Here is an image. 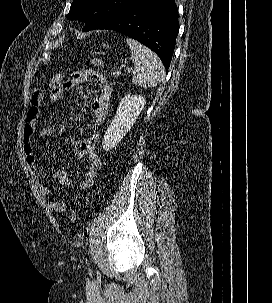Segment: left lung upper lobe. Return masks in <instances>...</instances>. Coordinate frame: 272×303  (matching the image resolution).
Instances as JSON below:
<instances>
[{"instance_id": "left-lung-upper-lobe-1", "label": "left lung upper lobe", "mask_w": 272, "mask_h": 303, "mask_svg": "<svg viewBox=\"0 0 272 303\" xmlns=\"http://www.w3.org/2000/svg\"><path fill=\"white\" fill-rule=\"evenodd\" d=\"M140 0H73L67 17L86 23L83 32L99 25L134 5Z\"/></svg>"}]
</instances>
